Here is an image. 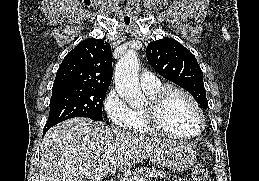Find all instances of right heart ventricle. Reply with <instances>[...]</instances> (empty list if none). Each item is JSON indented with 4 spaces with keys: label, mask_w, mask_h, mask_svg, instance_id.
<instances>
[{
    "label": "right heart ventricle",
    "mask_w": 259,
    "mask_h": 181,
    "mask_svg": "<svg viewBox=\"0 0 259 181\" xmlns=\"http://www.w3.org/2000/svg\"><path fill=\"white\" fill-rule=\"evenodd\" d=\"M162 88V85L159 83L158 85L152 88L143 89L148 97L154 95L158 90ZM128 129L139 132V133H153V130L148 126L146 122V118L143 112V109H135L132 110V118L131 123Z\"/></svg>",
    "instance_id": "1"
}]
</instances>
